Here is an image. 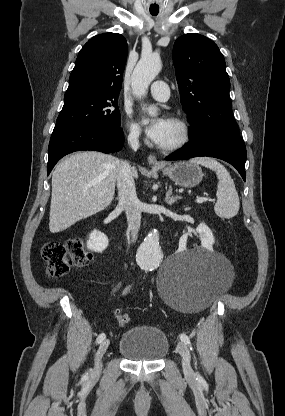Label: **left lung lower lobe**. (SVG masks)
<instances>
[{
  "instance_id": "0a47b994",
  "label": "left lung lower lobe",
  "mask_w": 285,
  "mask_h": 416,
  "mask_svg": "<svg viewBox=\"0 0 285 416\" xmlns=\"http://www.w3.org/2000/svg\"><path fill=\"white\" fill-rule=\"evenodd\" d=\"M209 156L232 164L245 181L246 147L236 124H223L202 131L165 160Z\"/></svg>"
}]
</instances>
